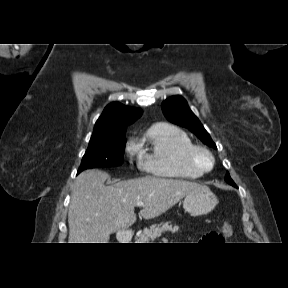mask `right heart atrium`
<instances>
[{"mask_svg":"<svg viewBox=\"0 0 288 288\" xmlns=\"http://www.w3.org/2000/svg\"><path fill=\"white\" fill-rule=\"evenodd\" d=\"M127 151H128L130 154H135L136 151H137L136 145H135L134 143H129V144H128V147H127Z\"/></svg>","mask_w":288,"mask_h":288,"instance_id":"1","label":"right heart atrium"}]
</instances>
